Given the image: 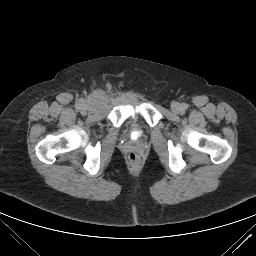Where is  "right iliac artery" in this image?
<instances>
[{
  "mask_svg": "<svg viewBox=\"0 0 256 256\" xmlns=\"http://www.w3.org/2000/svg\"><path fill=\"white\" fill-rule=\"evenodd\" d=\"M81 102H82V101H81ZM76 108H77V109H80V108H81V104H77V105H76Z\"/></svg>",
  "mask_w": 256,
  "mask_h": 256,
  "instance_id": "82829eb1",
  "label": "right iliac artery"
}]
</instances>
